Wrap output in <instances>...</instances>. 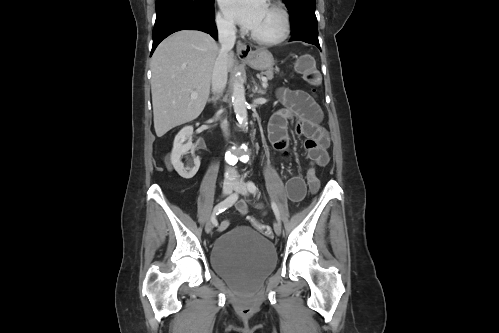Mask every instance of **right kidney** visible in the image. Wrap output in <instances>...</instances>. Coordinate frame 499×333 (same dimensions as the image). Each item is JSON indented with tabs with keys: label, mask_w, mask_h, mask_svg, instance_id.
Returning a JSON list of instances; mask_svg holds the SVG:
<instances>
[{
	"label": "right kidney",
	"mask_w": 499,
	"mask_h": 333,
	"mask_svg": "<svg viewBox=\"0 0 499 333\" xmlns=\"http://www.w3.org/2000/svg\"><path fill=\"white\" fill-rule=\"evenodd\" d=\"M192 135V126H186L182 128L174 139L173 149L171 153V163L174 169L182 178L185 179H191L193 176H195L200 167L199 157H194L193 166L184 167V164L181 162V156L187 154L189 151H191L192 155L194 156ZM185 141H187V143L184 144Z\"/></svg>",
	"instance_id": "1"
}]
</instances>
